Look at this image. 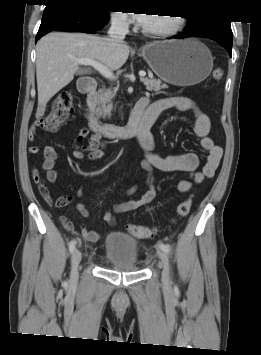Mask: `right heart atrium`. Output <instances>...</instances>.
Wrapping results in <instances>:
<instances>
[{"label": "right heart atrium", "instance_id": "right-heart-atrium-1", "mask_svg": "<svg viewBox=\"0 0 261 355\" xmlns=\"http://www.w3.org/2000/svg\"><path fill=\"white\" fill-rule=\"evenodd\" d=\"M111 22L115 27L118 28H127L128 27V18L127 15L123 12L117 11L111 14Z\"/></svg>", "mask_w": 261, "mask_h": 355}]
</instances>
